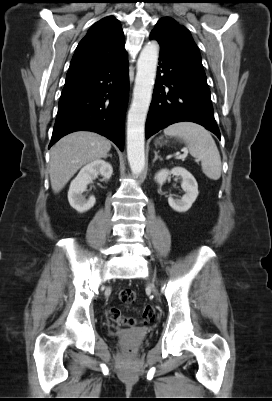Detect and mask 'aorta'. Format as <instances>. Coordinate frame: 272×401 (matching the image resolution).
Masks as SVG:
<instances>
[{"mask_svg":"<svg viewBox=\"0 0 272 401\" xmlns=\"http://www.w3.org/2000/svg\"><path fill=\"white\" fill-rule=\"evenodd\" d=\"M159 45L148 42L137 61L133 99L127 117V157L131 171L139 175L145 166V121L151 103Z\"/></svg>","mask_w":272,"mask_h":401,"instance_id":"aorta-1","label":"aorta"}]
</instances>
